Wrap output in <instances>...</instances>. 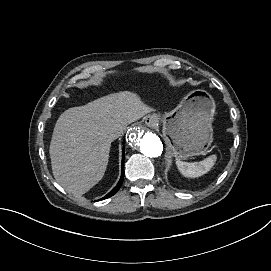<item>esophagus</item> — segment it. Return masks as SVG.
<instances>
[{
  "mask_svg": "<svg viewBox=\"0 0 271 271\" xmlns=\"http://www.w3.org/2000/svg\"><path fill=\"white\" fill-rule=\"evenodd\" d=\"M145 123L149 127H155L158 123V117L156 114H150L145 118Z\"/></svg>",
  "mask_w": 271,
  "mask_h": 271,
  "instance_id": "1",
  "label": "esophagus"
}]
</instances>
